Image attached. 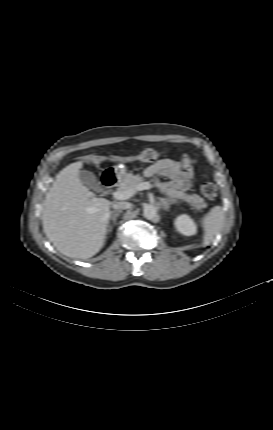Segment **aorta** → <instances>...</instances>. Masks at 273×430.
I'll return each mask as SVG.
<instances>
[{"label": "aorta", "instance_id": "obj_1", "mask_svg": "<svg viewBox=\"0 0 273 430\" xmlns=\"http://www.w3.org/2000/svg\"><path fill=\"white\" fill-rule=\"evenodd\" d=\"M143 215L148 220H153L157 216V208L154 205L147 204L144 207Z\"/></svg>", "mask_w": 273, "mask_h": 430}]
</instances>
